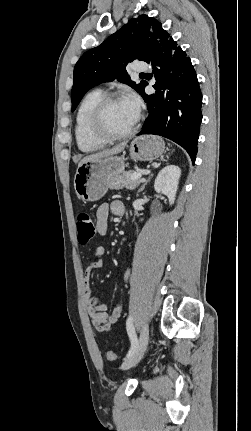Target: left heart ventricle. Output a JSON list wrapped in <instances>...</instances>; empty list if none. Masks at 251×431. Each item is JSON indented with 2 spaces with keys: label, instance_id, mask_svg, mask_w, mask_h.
Here are the masks:
<instances>
[{
  "label": "left heart ventricle",
  "instance_id": "b2bd125f",
  "mask_svg": "<svg viewBox=\"0 0 251 431\" xmlns=\"http://www.w3.org/2000/svg\"><path fill=\"white\" fill-rule=\"evenodd\" d=\"M137 117L134 111L124 100L110 104L104 113L103 123L106 130L111 133H123L130 129Z\"/></svg>",
  "mask_w": 251,
  "mask_h": 431
}]
</instances>
